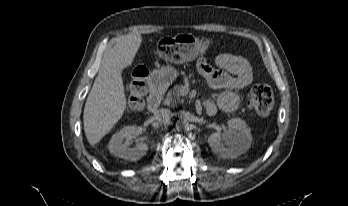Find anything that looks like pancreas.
Returning <instances> with one entry per match:
<instances>
[{
    "instance_id": "1",
    "label": "pancreas",
    "mask_w": 348,
    "mask_h": 206,
    "mask_svg": "<svg viewBox=\"0 0 348 206\" xmlns=\"http://www.w3.org/2000/svg\"><path fill=\"white\" fill-rule=\"evenodd\" d=\"M183 86L182 85H175L173 89H171L164 100V104L175 107L180 103H183V100L181 99V90Z\"/></svg>"
}]
</instances>
